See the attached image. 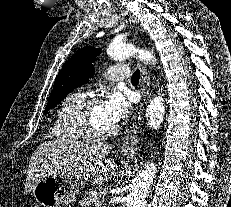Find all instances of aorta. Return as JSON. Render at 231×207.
I'll return each mask as SVG.
<instances>
[{
	"label": "aorta",
	"mask_w": 231,
	"mask_h": 207,
	"mask_svg": "<svg viewBox=\"0 0 231 207\" xmlns=\"http://www.w3.org/2000/svg\"><path fill=\"white\" fill-rule=\"evenodd\" d=\"M109 57L116 60H123L135 55L142 61L155 64L156 59L154 55L143 49H139L129 43H112L107 48ZM165 114V104L162 95L155 96L149 102L146 110V120L148 125L157 130L160 128ZM156 175V165L154 163H147L137 173L131 184V190L127 196L126 207H146L148 190Z\"/></svg>",
	"instance_id": "762f6f07"
}]
</instances>
